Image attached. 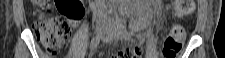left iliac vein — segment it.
I'll return each mask as SVG.
<instances>
[{
  "instance_id": "1",
  "label": "left iliac vein",
  "mask_w": 225,
  "mask_h": 58,
  "mask_svg": "<svg viewBox=\"0 0 225 58\" xmlns=\"http://www.w3.org/2000/svg\"><path fill=\"white\" fill-rule=\"evenodd\" d=\"M120 22L121 21L119 19L113 21L108 20L105 34L110 40L119 41L122 39V33L118 28V23Z\"/></svg>"
}]
</instances>
